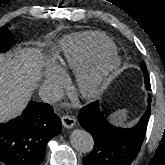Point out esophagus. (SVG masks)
<instances>
[{"label": "esophagus", "mask_w": 165, "mask_h": 165, "mask_svg": "<svg viewBox=\"0 0 165 165\" xmlns=\"http://www.w3.org/2000/svg\"><path fill=\"white\" fill-rule=\"evenodd\" d=\"M61 122L65 128L71 129L74 127L76 123V119L72 116H63L61 117Z\"/></svg>", "instance_id": "1"}]
</instances>
